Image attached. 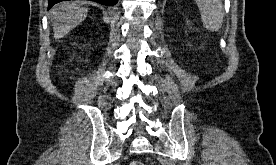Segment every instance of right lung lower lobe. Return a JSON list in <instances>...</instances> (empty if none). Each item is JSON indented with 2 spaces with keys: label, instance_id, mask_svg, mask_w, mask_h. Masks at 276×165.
<instances>
[{
  "label": "right lung lower lobe",
  "instance_id": "98d812e1",
  "mask_svg": "<svg viewBox=\"0 0 276 165\" xmlns=\"http://www.w3.org/2000/svg\"><path fill=\"white\" fill-rule=\"evenodd\" d=\"M61 1H66V0H49L48 9H50L54 4L59 3ZM92 1L98 2L103 5H108V6H113L118 2V0H92Z\"/></svg>",
  "mask_w": 276,
  "mask_h": 165
}]
</instances>
